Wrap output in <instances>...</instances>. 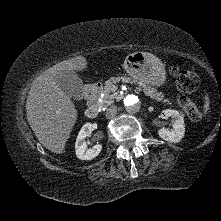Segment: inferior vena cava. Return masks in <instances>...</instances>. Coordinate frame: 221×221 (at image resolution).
Listing matches in <instances>:
<instances>
[{
  "label": "inferior vena cava",
  "instance_id": "602c4592",
  "mask_svg": "<svg viewBox=\"0 0 221 221\" xmlns=\"http://www.w3.org/2000/svg\"><path fill=\"white\" fill-rule=\"evenodd\" d=\"M117 113V106L112 105L106 110V118H113Z\"/></svg>",
  "mask_w": 221,
  "mask_h": 221
}]
</instances>
